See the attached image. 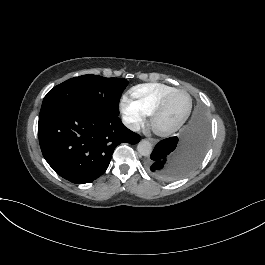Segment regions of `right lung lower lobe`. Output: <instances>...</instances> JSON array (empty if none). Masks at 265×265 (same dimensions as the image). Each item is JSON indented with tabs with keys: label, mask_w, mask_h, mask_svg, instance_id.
<instances>
[{
	"label": "right lung lower lobe",
	"mask_w": 265,
	"mask_h": 265,
	"mask_svg": "<svg viewBox=\"0 0 265 265\" xmlns=\"http://www.w3.org/2000/svg\"><path fill=\"white\" fill-rule=\"evenodd\" d=\"M38 137L51 168L77 184L101 176L117 145L140 141V136L126 128L118 116H102L74 105L40 114Z\"/></svg>",
	"instance_id": "1"
}]
</instances>
